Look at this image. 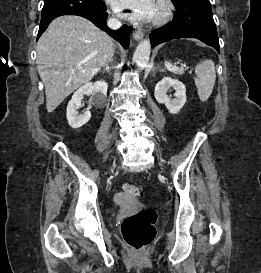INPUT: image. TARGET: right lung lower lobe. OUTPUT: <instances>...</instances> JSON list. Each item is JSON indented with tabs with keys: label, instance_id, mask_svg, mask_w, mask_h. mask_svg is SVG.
Wrapping results in <instances>:
<instances>
[{
	"label": "right lung lower lobe",
	"instance_id": "98d812e1",
	"mask_svg": "<svg viewBox=\"0 0 261 273\" xmlns=\"http://www.w3.org/2000/svg\"><path fill=\"white\" fill-rule=\"evenodd\" d=\"M61 15H79L87 18L97 27L106 31L126 49L129 46V28L110 30L106 26V5L103 0H44L37 39L46 30L49 23Z\"/></svg>",
	"mask_w": 261,
	"mask_h": 273
}]
</instances>
